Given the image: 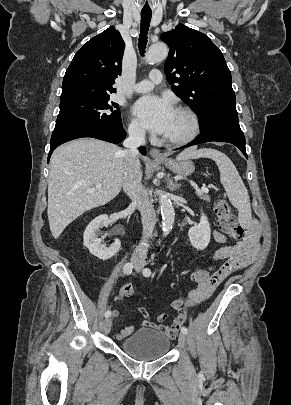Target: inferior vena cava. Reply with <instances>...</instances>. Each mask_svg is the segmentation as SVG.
Here are the masks:
<instances>
[{
    "label": "inferior vena cava",
    "mask_w": 291,
    "mask_h": 405,
    "mask_svg": "<svg viewBox=\"0 0 291 405\" xmlns=\"http://www.w3.org/2000/svg\"><path fill=\"white\" fill-rule=\"evenodd\" d=\"M129 137L123 141L122 187L132 203L141 213L144 241L152 235L155 226V210L148 193L141 184L142 174L138 162V147L145 144V131L132 127L128 130ZM147 246L139 245L132 255V261L144 263L147 257Z\"/></svg>",
    "instance_id": "602c4592"
}]
</instances>
